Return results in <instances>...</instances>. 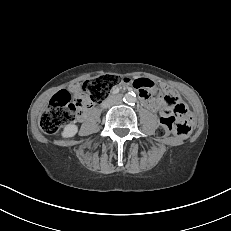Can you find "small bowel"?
<instances>
[{"label":"small bowel","instance_id":"obj_1","mask_svg":"<svg viewBox=\"0 0 231 231\" xmlns=\"http://www.w3.org/2000/svg\"><path fill=\"white\" fill-rule=\"evenodd\" d=\"M164 89V92L166 95H169L171 96L173 99H175L177 102L179 101V96L177 94V92L175 90H173L172 88H169L167 86H164L163 87ZM72 91L78 96H82L83 93L81 91V87L79 84H75L72 86ZM142 98L144 99V102L146 104V106L152 110L153 112H156V113H161V114H165V113H168L169 112V109L168 108H164L163 107V103L159 100H156V99H151L149 96H146V97H143Z\"/></svg>","mask_w":231,"mask_h":231}]
</instances>
